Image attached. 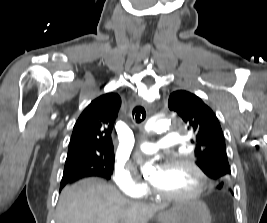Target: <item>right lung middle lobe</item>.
<instances>
[{"label": "right lung middle lobe", "mask_w": 267, "mask_h": 223, "mask_svg": "<svg viewBox=\"0 0 267 223\" xmlns=\"http://www.w3.org/2000/svg\"><path fill=\"white\" fill-rule=\"evenodd\" d=\"M114 156L85 157L79 160H68L65 163L64 171H86L96 173L103 178L109 179L113 172Z\"/></svg>", "instance_id": "dd1d6c3e"}]
</instances>
